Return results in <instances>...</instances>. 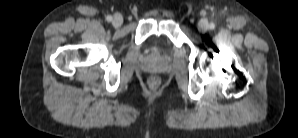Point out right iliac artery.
I'll return each mask as SVG.
<instances>
[{
  "mask_svg": "<svg viewBox=\"0 0 298 138\" xmlns=\"http://www.w3.org/2000/svg\"><path fill=\"white\" fill-rule=\"evenodd\" d=\"M106 20H107L108 22L112 21V16H111V15H108V16L106 17Z\"/></svg>",
  "mask_w": 298,
  "mask_h": 138,
  "instance_id": "82829eb1",
  "label": "right iliac artery"
}]
</instances>
